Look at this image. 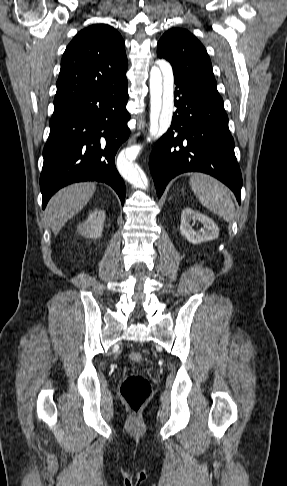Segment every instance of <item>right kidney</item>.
I'll use <instances>...</instances> for the list:
<instances>
[{"instance_id":"ca27d5eb","label":"right kidney","mask_w":287,"mask_h":486,"mask_svg":"<svg viewBox=\"0 0 287 486\" xmlns=\"http://www.w3.org/2000/svg\"><path fill=\"white\" fill-rule=\"evenodd\" d=\"M105 213L103 210H95L88 218L80 223L77 232L86 238H98L102 235Z\"/></svg>"}]
</instances>
